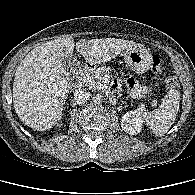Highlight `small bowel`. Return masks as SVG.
Returning <instances> with one entry per match:
<instances>
[{"instance_id":"1","label":"small bowel","mask_w":195,"mask_h":195,"mask_svg":"<svg viewBox=\"0 0 195 195\" xmlns=\"http://www.w3.org/2000/svg\"><path fill=\"white\" fill-rule=\"evenodd\" d=\"M126 80H127L128 84H129V86H130L132 92H133L135 95H139V94H141V93L144 92V90H143L142 88H139V87L136 85V83H135V81H134V79H133L132 77L127 76Z\"/></svg>"}]
</instances>
